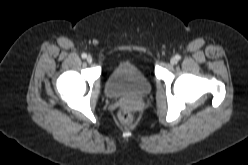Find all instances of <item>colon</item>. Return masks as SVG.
Here are the masks:
<instances>
[{"mask_svg":"<svg viewBox=\"0 0 248 165\" xmlns=\"http://www.w3.org/2000/svg\"><path fill=\"white\" fill-rule=\"evenodd\" d=\"M118 118L121 123L129 124L132 121V114L127 110H121L119 112Z\"/></svg>","mask_w":248,"mask_h":165,"instance_id":"5ec220e1","label":"colon"}]
</instances>
